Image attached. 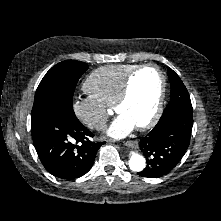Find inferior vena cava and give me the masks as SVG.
Listing matches in <instances>:
<instances>
[{"instance_id":"602c4592","label":"inferior vena cava","mask_w":221,"mask_h":221,"mask_svg":"<svg viewBox=\"0 0 221 221\" xmlns=\"http://www.w3.org/2000/svg\"><path fill=\"white\" fill-rule=\"evenodd\" d=\"M89 126L91 128H96L98 130H101L105 127V121L103 119L92 120L89 122Z\"/></svg>"}]
</instances>
